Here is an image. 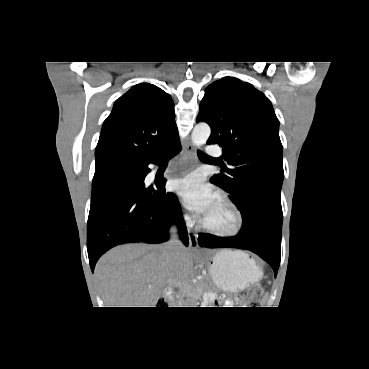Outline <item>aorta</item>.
I'll return each mask as SVG.
<instances>
[{
    "label": "aorta",
    "mask_w": 369,
    "mask_h": 369,
    "mask_svg": "<svg viewBox=\"0 0 369 369\" xmlns=\"http://www.w3.org/2000/svg\"><path fill=\"white\" fill-rule=\"evenodd\" d=\"M210 133L211 129L208 124L206 123L197 124L192 131L191 135L192 143L197 147L204 145L207 142Z\"/></svg>",
    "instance_id": "1"
}]
</instances>
